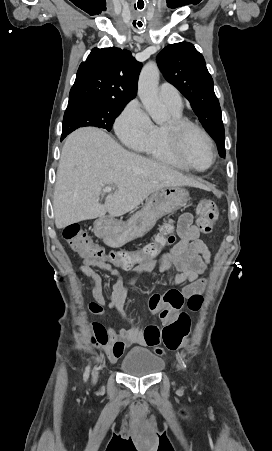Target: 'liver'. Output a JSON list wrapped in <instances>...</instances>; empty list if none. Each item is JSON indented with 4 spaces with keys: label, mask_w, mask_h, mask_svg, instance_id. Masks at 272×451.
<instances>
[{
    "label": "liver",
    "mask_w": 272,
    "mask_h": 451,
    "mask_svg": "<svg viewBox=\"0 0 272 451\" xmlns=\"http://www.w3.org/2000/svg\"><path fill=\"white\" fill-rule=\"evenodd\" d=\"M106 184H115L118 190L99 204ZM171 186L201 184L170 166L127 152L103 130L80 128L62 148L53 196L55 226L102 218L107 212L123 216L156 190Z\"/></svg>",
    "instance_id": "obj_1"
}]
</instances>
